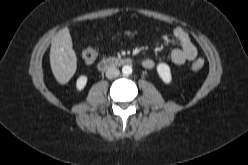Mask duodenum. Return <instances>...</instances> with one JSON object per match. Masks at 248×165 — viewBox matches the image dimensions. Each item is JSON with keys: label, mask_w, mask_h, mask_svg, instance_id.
<instances>
[{"label": "duodenum", "mask_w": 248, "mask_h": 165, "mask_svg": "<svg viewBox=\"0 0 248 165\" xmlns=\"http://www.w3.org/2000/svg\"><path fill=\"white\" fill-rule=\"evenodd\" d=\"M131 62L132 59L130 57H110L101 60L97 67L99 70L104 71L114 66L129 65Z\"/></svg>", "instance_id": "1"}]
</instances>
